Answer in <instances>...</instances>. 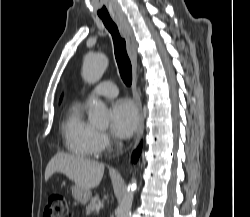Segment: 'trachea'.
<instances>
[{"instance_id": "obj_1", "label": "trachea", "mask_w": 250, "mask_h": 217, "mask_svg": "<svg viewBox=\"0 0 250 217\" xmlns=\"http://www.w3.org/2000/svg\"><path fill=\"white\" fill-rule=\"evenodd\" d=\"M102 21L112 36L115 58L121 78L127 86H130L132 83V66L127 55L125 39L121 37L118 27L113 20L103 19Z\"/></svg>"}]
</instances>
